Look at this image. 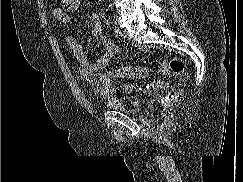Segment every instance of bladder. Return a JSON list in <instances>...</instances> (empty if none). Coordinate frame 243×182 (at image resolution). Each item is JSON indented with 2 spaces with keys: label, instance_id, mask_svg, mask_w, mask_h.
Here are the masks:
<instances>
[{
  "label": "bladder",
  "instance_id": "obj_1",
  "mask_svg": "<svg viewBox=\"0 0 243 182\" xmlns=\"http://www.w3.org/2000/svg\"><path fill=\"white\" fill-rule=\"evenodd\" d=\"M104 107L108 110L129 114L141 113L145 107L144 99L138 94L125 96H113L104 101Z\"/></svg>",
  "mask_w": 243,
  "mask_h": 182
}]
</instances>
